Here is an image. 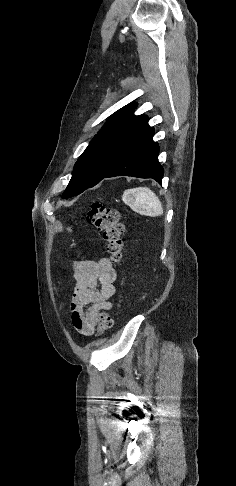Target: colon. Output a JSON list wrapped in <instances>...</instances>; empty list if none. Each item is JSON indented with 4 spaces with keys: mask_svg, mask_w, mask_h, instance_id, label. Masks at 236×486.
<instances>
[{
    "mask_svg": "<svg viewBox=\"0 0 236 486\" xmlns=\"http://www.w3.org/2000/svg\"><path fill=\"white\" fill-rule=\"evenodd\" d=\"M87 220L101 233L111 260L119 263L123 257L124 248V225L120 221L119 212L95 201L87 213ZM97 322L99 334H103L113 326V318L107 312L100 313Z\"/></svg>",
    "mask_w": 236,
    "mask_h": 486,
    "instance_id": "colon-1",
    "label": "colon"
}]
</instances>
